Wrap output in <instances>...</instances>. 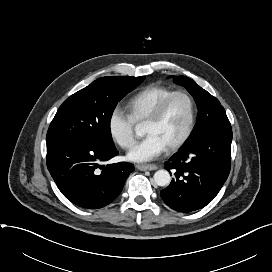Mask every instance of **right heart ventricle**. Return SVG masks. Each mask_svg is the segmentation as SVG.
Instances as JSON below:
<instances>
[{"label":"right heart ventricle","instance_id":"e07e8e85","mask_svg":"<svg viewBox=\"0 0 272 272\" xmlns=\"http://www.w3.org/2000/svg\"><path fill=\"white\" fill-rule=\"evenodd\" d=\"M173 91L172 88L162 85L145 87L128 101L129 116L136 124L145 123L158 103Z\"/></svg>","mask_w":272,"mask_h":272}]
</instances>
